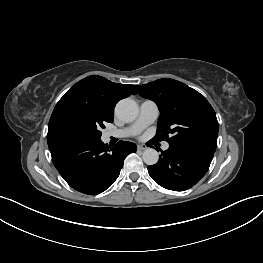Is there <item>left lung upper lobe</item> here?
I'll use <instances>...</instances> for the list:
<instances>
[{
	"label": "left lung upper lobe",
	"mask_w": 263,
	"mask_h": 263,
	"mask_svg": "<svg viewBox=\"0 0 263 263\" xmlns=\"http://www.w3.org/2000/svg\"><path fill=\"white\" fill-rule=\"evenodd\" d=\"M138 94L153 100L161 112L153 141L216 150L218 121L206 98L173 79H158L135 86Z\"/></svg>",
	"instance_id": "obj_1"
}]
</instances>
